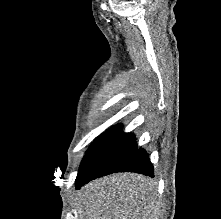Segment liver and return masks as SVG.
<instances>
[{"instance_id": "obj_1", "label": "liver", "mask_w": 221, "mask_h": 219, "mask_svg": "<svg viewBox=\"0 0 221 219\" xmlns=\"http://www.w3.org/2000/svg\"><path fill=\"white\" fill-rule=\"evenodd\" d=\"M76 208L78 219H159L160 200L152 179L120 173L86 185Z\"/></svg>"}]
</instances>
